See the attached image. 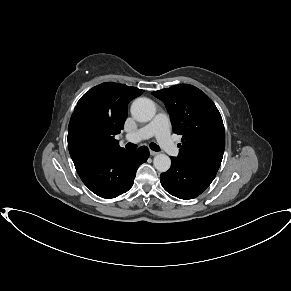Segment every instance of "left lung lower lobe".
<instances>
[{
    "mask_svg": "<svg viewBox=\"0 0 291 291\" xmlns=\"http://www.w3.org/2000/svg\"><path fill=\"white\" fill-rule=\"evenodd\" d=\"M170 169L162 173L160 181L163 188L171 195L180 199H193L200 195L215 178L187 166L176 157H171Z\"/></svg>",
    "mask_w": 291,
    "mask_h": 291,
    "instance_id": "0a47b994",
    "label": "left lung lower lobe"
}]
</instances>
